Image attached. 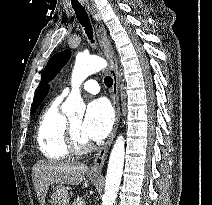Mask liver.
<instances>
[{
    "instance_id": "1",
    "label": "liver",
    "mask_w": 212,
    "mask_h": 205,
    "mask_svg": "<svg viewBox=\"0 0 212 205\" xmlns=\"http://www.w3.org/2000/svg\"><path fill=\"white\" fill-rule=\"evenodd\" d=\"M88 167L77 162L39 161L33 167V182L40 205H44L52 184L79 185Z\"/></svg>"
}]
</instances>
